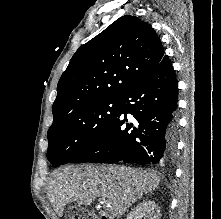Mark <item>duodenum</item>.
Listing matches in <instances>:
<instances>
[{
    "label": "duodenum",
    "instance_id": "410a0bca",
    "mask_svg": "<svg viewBox=\"0 0 221 219\" xmlns=\"http://www.w3.org/2000/svg\"><path fill=\"white\" fill-rule=\"evenodd\" d=\"M99 219H114L110 214L105 211L99 212Z\"/></svg>",
    "mask_w": 221,
    "mask_h": 219
}]
</instances>
